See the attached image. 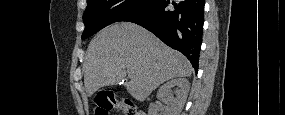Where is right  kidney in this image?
I'll return each mask as SVG.
<instances>
[{
    "label": "right kidney",
    "instance_id": "1",
    "mask_svg": "<svg viewBox=\"0 0 285 115\" xmlns=\"http://www.w3.org/2000/svg\"><path fill=\"white\" fill-rule=\"evenodd\" d=\"M175 86L179 87L176 97L171 93V89ZM189 89V81L185 78L172 79L163 84L157 93V98L159 100L166 98L169 101V106L164 110L163 115H179L186 101ZM159 109L160 106L157 104H150L148 114L158 115Z\"/></svg>",
    "mask_w": 285,
    "mask_h": 115
}]
</instances>
